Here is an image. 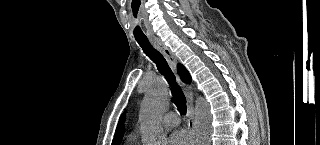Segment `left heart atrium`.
I'll list each match as a JSON object with an SVG mask.
<instances>
[{
    "mask_svg": "<svg viewBox=\"0 0 320 145\" xmlns=\"http://www.w3.org/2000/svg\"><path fill=\"white\" fill-rule=\"evenodd\" d=\"M190 138L184 131L174 132L168 139V145H190Z\"/></svg>",
    "mask_w": 320,
    "mask_h": 145,
    "instance_id": "left-heart-atrium-1",
    "label": "left heart atrium"
}]
</instances>
